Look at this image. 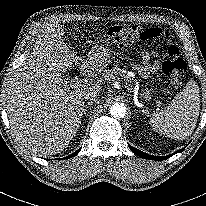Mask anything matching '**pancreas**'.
I'll return each instance as SVG.
<instances>
[{"instance_id": "obj_1", "label": "pancreas", "mask_w": 206, "mask_h": 206, "mask_svg": "<svg viewBox=\"0 0 206 206\" xmlns=\"http://www.w3.org/2000/svg\"><path fill=\"white\" fill-rule=\"evenodd\" d=\"M125 74L124 70H121L117 67L110 69V70H105V72L103 73V76L106 80L108 81H122L123 77Z\"/></svg>"}]
</instances>
